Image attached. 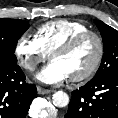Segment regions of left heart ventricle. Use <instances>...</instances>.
<instances>
[{"mask_svg":"<svg viewBox=\"0 0 118 118\" xmlns=\"http://www.w3.org/2000/svg\"><path fill=\"white\" fill-rule=\"evenodd\" d=\"M96 54V42L92 38H87L70 52L55 55L52 61L63 66L71 77L87 71L94 62Z\"/></svg>","mask_w":118,"mask_h":118,"instance_id":"left-heart-ventricle-1","label":"left heart ventricle"}]
</instances>
